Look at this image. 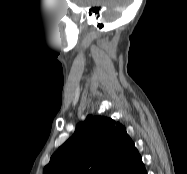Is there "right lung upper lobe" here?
<instances>
[{"mask_svg": "<svg viewBox=\"0 0 187 174\" xmlns=\"http://www.w3.org/2000/svg\"><path fill=\"white\" fill-rule=\"evenodd\" d=\"M144 165L125 128L89 115L52 155L43 174H138Z\"/></svg>", "mask_w": 187, "mask_h": 174, "instance_id": "cb5924a9", "label": "right lung upper lobe"}]
</instances>
